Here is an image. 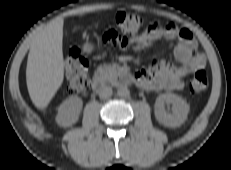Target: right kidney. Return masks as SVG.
Wrapping results in <instances>:
<instances>
[{
  "label": "right kidney",
  "mask_w": 231,
  "mask_h": 170,
  "mask_svg": "<svg viewBox=\"0 0 231 170\" xmlns=\"http://www.w3.org/2000/svg\"><path fill=\"white\" fill-rule=\"evenodd\" d=\"M83 102L79 97L71 96L58 108L56 122L63 127L76 123L82 110Z\"/></svg>",
  "instance_id": "obj_1"
}]
</instances>
